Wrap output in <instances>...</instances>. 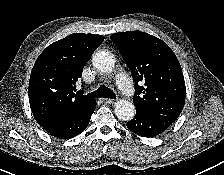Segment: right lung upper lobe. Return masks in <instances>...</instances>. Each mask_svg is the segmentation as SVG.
Listing matches in <instances>:
<instances>
[{"mask_svg": "<svg viewBox=\"0 0 224 175\" xmlns=\"http://www.w3.org/2000/svg\"><path fill=\"white\" fill-rule=\"evenodd\" d=\"M103 40L101 35L74 33L40 54L32 68L28 93L34 118L42 127L96 103L76 90V82Z\"/></svg>", "mask_w": 224, "mask_h": 175, "instance_id": "obj_1", "label": "right lung upper lobe"}]
</instances>
